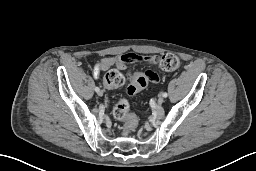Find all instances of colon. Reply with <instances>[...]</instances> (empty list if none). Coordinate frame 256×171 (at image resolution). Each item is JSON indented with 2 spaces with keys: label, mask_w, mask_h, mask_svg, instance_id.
<instances>
[{
  "label": "colon",
  "mask_w": 256,
  "mask_h": 171,
  "mask_svg": "<svg viewBox=\"0 0 256 171\" xmlns=\"http://www.w3.org/2000/svg\"><path fill=\"white\" fill-rule=\"evenodd\" d=\"M158 66L164 71H173L178 68L180 60L178 56L172 53L163 54L157 57ZM130 78V84L127 88L129 94H135L146 87L148 80L143 72H135ZM104 81L112 88H117L125 84L126 76L123 72L112 69L105 75ZM113 117L124 123V133H128L137 125V117L131 113L130 105L127 100L117 101L112 108Z\"/></svg>",
  "instance_id": "obj_1"
}]
</instances>
